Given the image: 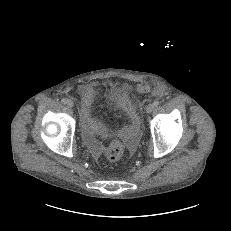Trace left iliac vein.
I'll return each instance as SVG.
<instances>
[{
	"label": "left iliac vein",
	"instance_id": "4c4485c4",
	"mask_svg": "<svg viewBox=\"0 0 231 231\" xmlns=\"http://www.w3.org/2000/svg\"><path fill=\"white\" fill-rule=\"evenodd\" d=\"M153 110H154V105L152 103L148 104L146 107V112L150 114L152 113Z\"/></svg>",
	"mask_w": 231,
	"mask_h": 231
}]
</instances>
